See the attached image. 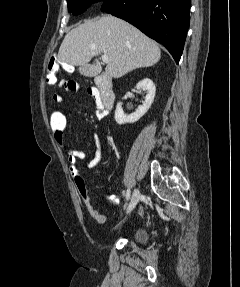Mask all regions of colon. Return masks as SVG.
<instances>
[{"instance_id":"obj_1","label":"colon","mask_w":240,"mask_h":287,"mask_svg":"<svg viewBox=\"0 0 240 287\" xmlns=\"http://www.w3.org/2000/svg\"><path fill=\"white\" fill-rule=\"evenodd\" d=\"M47 71H48L47 83L51 85L56 84L57 83L56 74L58 72V61L55 57L50 58L48 62V66H47ZM58 85L69 91H77L79 89L78 83H76L75 81H71V80H60L58 82ZM49 124L54 135H62L66 128L67 123H66V118L62 112H60L59 110H52L49 114ZM75 184L89 214L98 223H101V224L105 223L106 218L103 214H101L96 209L93 201L91 200L89 196L84 179L81 176L76 175Z\"/></svg>"}]
</instances>
